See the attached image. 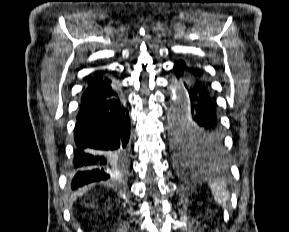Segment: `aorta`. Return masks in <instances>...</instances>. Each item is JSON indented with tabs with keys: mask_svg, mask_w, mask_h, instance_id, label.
<instances>
[{
	"mask_svg": "<svg viewBox=\"0 0 289 232\" xmlns=\"http://www.w3.org/2000/svg\"><path fill=\"white\" fill-rule=\"evenodd\" d=\"M170 94H171V99L173 101L178 99V90L176 86L171 85L170 86ZM188 110V100L187 97H184L183 99L181 98V106H177L173 112V115L179 116L182 112H186Z\"/></svg>",
	"mask_w": 289,
	"mask_h": 232,
	"instance_id": "1",
	"label": "aorta"
}]
</instances>
